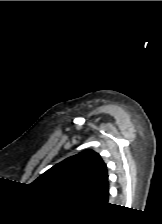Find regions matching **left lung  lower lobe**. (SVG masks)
<instances>
[{
	"label": "left lung lower lobe",
	"mask_w": 162,
	"mask_h": 224,
	"mask_svg": "<svg viewBox=\"0 0 162 224\" xmlns=\"http://www.w3.org/2000/svg\"><path fill=\"white\" fill-rule=\"evenodd\" d=\"M109 197L108 181L96 192L90 195L87 199L100 204H107Z\"/></svg>",
	"instance_id": "left-lung-lower-lobe-1"
}]
</instances>
